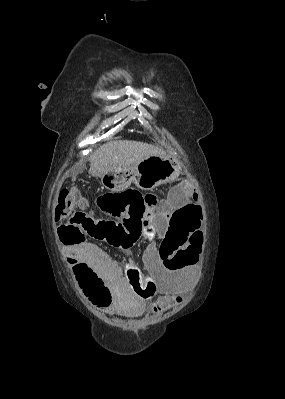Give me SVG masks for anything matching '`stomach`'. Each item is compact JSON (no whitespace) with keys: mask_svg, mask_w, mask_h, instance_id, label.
<instances>
[{"mask_svg":"<svg viewBox=\"0 0 285 399\" xmlns=\"http://www.w3.org/2000/svg\"><path fill=\"white\" fill-rule=\"evenodd\" d=\"M180 166L169 156L151 155L133 167L114 168L101 177L102 185L111 192H120L134 183L139 189L155 187L177 179Z\"/></svg>","mask_w":285,"mask_h":399,"instance_id":"stomach-1","label":"stomach"}]
</instances>
